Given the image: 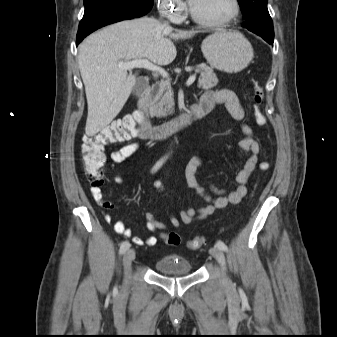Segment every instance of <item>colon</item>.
I'll use <instances>...</instances> for the list:
<instances>
[{"label": "colon", "instance_id": "colon-1", "mask_svg": "<svg viewBox=\"0 0 337 337\" xmlns=\"http://www.w3.org/2000/svg\"><path fill=\"white\" fill-rule=\"evenodd\" d=\"M253 87V115L257 125H266V117L262 109L264 90L258 80L252 81ZM136 132V123L133 117H125L113 121L108 126L95 134H87L82 137L81 156L84 164V174L94 186L103 184L102 167L106 161L104 148L108 145L121 142ZM261 171L268 169V162L263 161L259 165ZM162 238L167 245L177 246L181 243L178 233L170 231L162 233ZM204 244V238L196 236L188 241V247L197 250Z\"/></svg>", "mask_w": 337, "mask_h": 337}]
</instances>
